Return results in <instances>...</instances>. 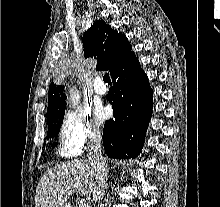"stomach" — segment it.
Wrapping results in <instances>:
<instances>
[{
    "label": "stomach",
    "instance_id": "0dacf381",
    "mask_svg": "<svg viewBox=\"0 0 220 207\" xmlns=\"http://www.w3.org/2000/svg\"><path fill=\"white\" fill-rule=\"evenodd\" d=\"M62 207H71V206L64 204Z\"/></svg>",
    "mask_w": 220,
    "mask_h": 207
}]
</instances>
